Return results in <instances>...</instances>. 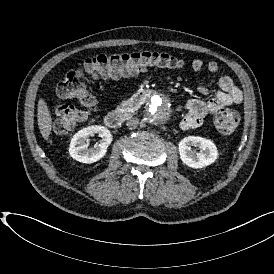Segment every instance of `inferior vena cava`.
Returning a JSON list of instances; mask_svg holds the SVG:
<instances>
[{"label":"inferior vena cava","instance_id":"inferior-vena-cava-1","mask_svg":"<svg viewBox=\"0 0 274 274\" xmlns=\"http://www.w3.org/2000/svg\"><path fill=\"white\" fill-rule=\"evenodd\" d=\"M126 126L130 130L136 129L139 126V120H138V118H135V117L129 118L126 121Z\"/></svg>","mask_w":274,"mask_h":274}]
</instances>
